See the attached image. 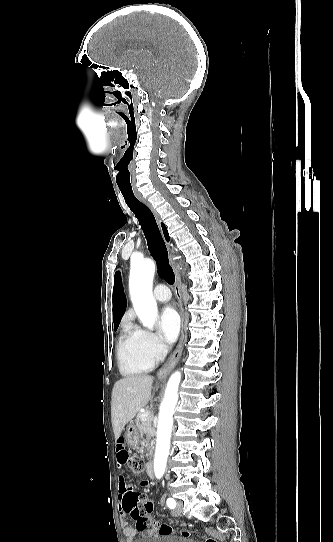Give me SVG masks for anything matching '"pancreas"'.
<instances>
[{
	"label": "pancreas",
	"instance_id": "cf45deb5",
	"mask_svg": "<svg viewBox=\"0 0 333 542\" xmlns=\"http://www.w3.org/2000/svg\"><path fill=\"white\" fill-rule=\"evenodd\" d=\"M144 414V412H138L135 420V424L137 426V430L140 434L141 438V444L143 448H146V456L147 458H152L154 448H155V428L152 426V420L151 418H146V420H142L141 416Z\"/></svg>",
	"mask_w": 333,
	"mask_h": 542
}]
</instances>
